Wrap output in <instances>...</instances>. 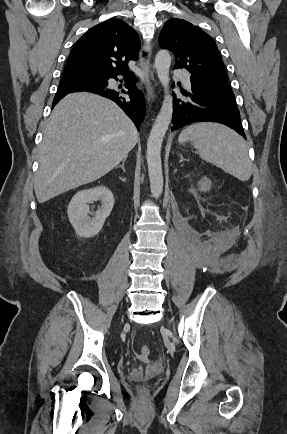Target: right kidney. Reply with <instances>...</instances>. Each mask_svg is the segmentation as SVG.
<instances>
[{"label": "right kidney", "instance_id": "ca27d5eb", "mask_svg": "<svg viewBox=\"0 0 287 434\" xmlns=\"http://www.w3.org/2000/svg\"><path fill=\"white\" fill-rule=\"evenodd\" d=\"M101 201V207L95 216L90 218L88 203ZM112 192L105 186H98L88 190L77 192L71 199L67 214L76 234L79 237L90 238L97 235L103 227L106 218L110 215L114 206Z\"/></svg>", "mask_w": 287, "mask_h": 434}]
</instances>
